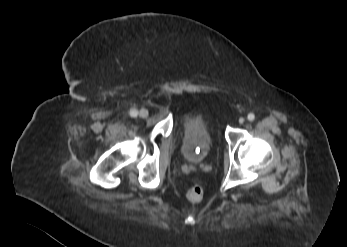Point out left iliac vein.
Returning a JSON list of instances; mask_svg holds the SVG:
<instances>
[{"label": "left iliac vein", "mask_w": 347, "mask_h": 247, "mask_svg": "<svg viewBox=\"0 0 347 247\" xmlns=\"http://www.w3.org/2000/svg\"><path fill=\"white\" fill-rule=\"evenodd\" d=\"M245 122V119L243 117L239 118V123L243 124Z\"/></svg>", "instance_id": "1"}]
</instances>
